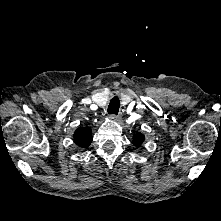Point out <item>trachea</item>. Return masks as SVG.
Listing matches in <instances>:
<instances>
[{
    "label": "trachea",
    "mask_w": 221,
    "mask_h": 221,
    "mask_svg": "<svg viewBox=\"0 0 221 221\" xmlns=\"http://www.w3.org/2000/svg\"><path fill=\"white\" fill-rule=\"evenodd\" d=\"M120 108V100L119 98L115 95L108 106V114H118Z\"/></svg>",
    "instance_id": "trachea-1"
}]
</instances>
